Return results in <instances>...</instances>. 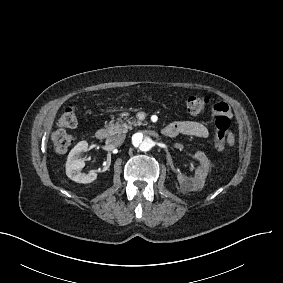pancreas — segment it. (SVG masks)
<instances>
[{
  "mask_svg": "<svg viewBox=\"0 0 283 283\" xmlns=\"http://www.w3.org/2000/svg\"><path fill=\"white\" fill-rule=\"evenodd\" d=\"M137 125H139V120L132 118V120H128L126 123L118 122L114 124V122L111 121L110 126L105 125L104 127L110 135H114L126 133L128 130H132L133 127Z\"/></svg>",
  "mask_w": 283,
  "mask_h": 283,
  "instance_id": "pancreas-1",
  "label": "pancreas"
}]
</instances>
